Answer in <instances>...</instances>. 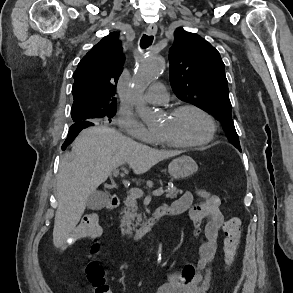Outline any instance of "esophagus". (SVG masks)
I'll return each instance as SVG.
<instances>
[{"instance_id": "34e87169", "label": "esophagus", "mask_w": 293, "mask_h": 293, "mask_svg": "<svg viewBox=\"0 0 293 293\" xmlns=\"http://www.w3.org/2000/svg\"><path fill=\"white\" fill-rule=\"evenodd\" d=\"M146 33L148 35H155L157 33V26L155 24H150L146 29Z\"/></svg>"}]
</instances>
